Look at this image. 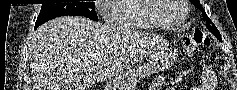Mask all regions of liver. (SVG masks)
<instances>
[{
  "label": "liver",
  "instance_id": "1",
  "mask_svg": "<svg viewBox=\"0 0 237 90\" xmlns=\"http://www.w3.org/2000/svg\"><path fill=\"white\" fill-rule=\"evenodd\" d=\"M30 60L34 90H88L112 78L126 62L119 28L81 16H65L40 26ZM68 84V86H67Z\"/></svg>",
  "mask_w": 237,
  "mask_h": 90
}]
</instances>
